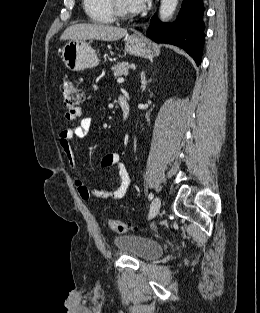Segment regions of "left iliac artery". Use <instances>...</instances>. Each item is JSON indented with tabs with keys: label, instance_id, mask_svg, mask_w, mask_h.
<instances>
[{
	"label": "left iliac artery",
	"instance_id": "1",
	"mask_svg": "<svg viewBox=\"0 0 260 313\" xmlns=\"http://www.w3.org/2000/svg\"><path fill=\"white\" fill-rule=\"evenodd\" d=\"M153 197H154L153 193H150V194L148 195L149 200H152Z\"/></svg>",
	"mask_w": 260,
	"mask_h": 313
}]
</instances>
